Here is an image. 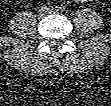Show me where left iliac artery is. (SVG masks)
Returning <instances> with one entry per match:
<instances>
[{"label": "left iliac artery", "instance_id": "44dca946", "mask_svg": "<svg viewBox=\"0 0 111 106\" xmlns=\"http://www.w3.org/2000/svg\"><path fill=\"white\" fill-rule=\"evenodd\" d=\"M59 11L64 12V11H66V8L64 6H60Z\"/></svg>", "mask_w": 111, "mask_h": 106}]
</instances>
